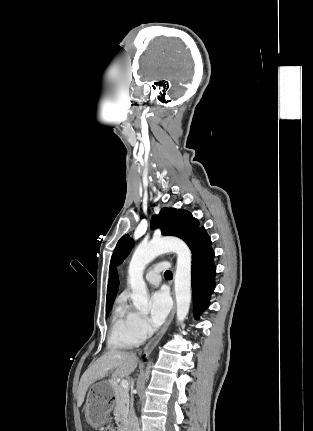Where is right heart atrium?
<instances>
[{"label": "right heart atrium", "mask_w": 313, "mask_h": 431, "mask_svg": "<svg viewBox=\"0 0 313 431\" xmlns=\"http://www.w3.org/2000/svg\"><path fill=\"white\" fill-rule=\"evenodd\" d=\"M133 328L135 333L141 338H145L150 332V326L145 317L138 313H134Z\"/></svg>", "instance_id": "right-heart-atrium-1"}]
</instances>
